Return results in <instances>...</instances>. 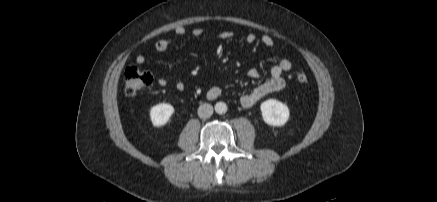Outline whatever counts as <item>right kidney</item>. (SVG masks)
I'll list each match as a JSON object with an SVG mask.
<instances>
[{
	"label": "right kidney",
	"mask_w": 437,
	"mask_h": 202,
	"mask_svg": "<svg viewBox=\"0 0 437 202\" xmlns=\"http://www.w3.org/2000/svg\"><path fill=\"white\" fill-rule=\"evenodd\" d=\"M173 113L174 108L170 104L161 103L153 106L150 110V119L153 126L160 127L165 125Z\"/></svg>",
	"instance_id": "right-kidney-1"
}]
</instances>
